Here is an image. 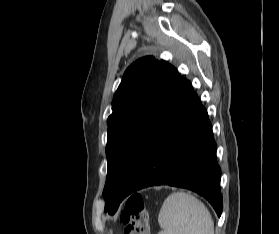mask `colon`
<instances>
[{"mask_svg":"<svg viewBox=\"0 0 279 234\" xmlns=\"http://www.w3.org/2000/svg\"><path fill=\"white\" fill-rule=\"evenodd\" d=\"M120 220L124 224L123 234H150L149 211L144 198L139 194L125 201Z\"/></svg>","mask_w":279,"mask_h":234,"instance_id":"1","label":"colon"}]
</instances>
